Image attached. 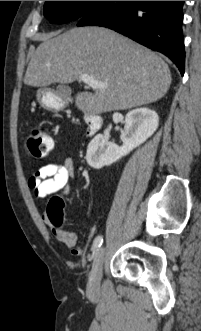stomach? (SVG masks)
I'll use <instances>...</instances> for the list:
<instances>
[{"mask_svg":"<svg viewBox=\"0 0 201 331\" xmlns=\"http://www.w3.org/2000/svg\"><path fill=\"white\" fill-rule=\"evenodd\" d=\"M39 104L47 110H60L64 108L65 103L56 97L51 91L45 88H41L36 94Z\"/></svg>","mask_w":201,"mask_h":331,"instance_id":"0dacf381","label":"stomach"}]
</instances>
